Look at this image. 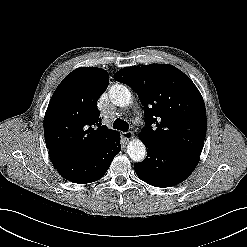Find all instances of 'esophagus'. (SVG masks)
<instances>
[{
	"label": "esophagus",
	"instance_id": "obj_1",
	"mask_svg": "<svg viewBox=\"0 0 247 247\" xmlns=\"http://www.w3.org/2000/svg\"><path fill=\"white\" fill-rule=\"evenodd\" d=\"M122 137L129 141L134 137V133L132 131L122 132Z\"/></svg>",
	"mask_w": 247,
	"mask_h": 247
}]
</instances>
